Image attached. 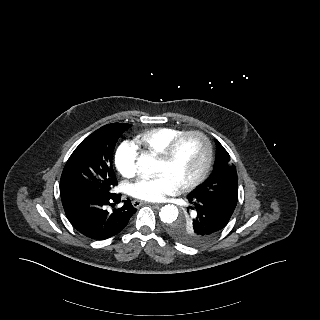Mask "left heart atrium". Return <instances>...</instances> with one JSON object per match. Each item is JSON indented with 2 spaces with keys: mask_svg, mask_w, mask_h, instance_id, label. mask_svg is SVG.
<instances>
[{
  "mask_svg": "<svg viewBox=\"0 0 320 320\" xmlns=\"http://www.w3.org/2000/svg\"><path fill=\"white\" fill-rule=\"evenodd\" d=\"M177 190V185L165 174L152 178L141 177L129 186L132 197L145 201H159Z\"/></svg>",
  "mask_w": 320,
  "mask_h": 320,
  "instance_id": "39dd6f15",
  "label": "left heart atrium"
}]
</instances>
